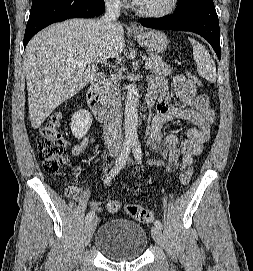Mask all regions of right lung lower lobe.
I'll list each match as a JSON object with an SVG mask.
<instances>
[{
  "mask_svg": "<svg viewBox=\"0 0 253 271\" xmlns=\"http://www.w3.org/2000/svg\"><path fill=\"white\" fill-rule=\"evenodd\" d=\"M104 11V0H44L32 4L24 35V48L44 27L69 18H91Z\"/></svg>",
  "mask_w": 253,
  "mask_h": 271,
  "instance_id": "obj_1",
  "label": "right lung lower lobe"
}]
</instances>
